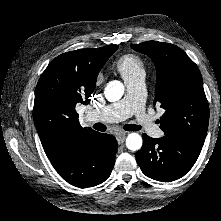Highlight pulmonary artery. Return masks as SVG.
I'll list each match as a JSON object with an SVG mask.
<instances>
[{"mask_svg":"<svg viewBox=\"0 0 221 221\" xmlns=\"http://www.w3.org/2000/svg\"><path fill=\"white\" fill-rule=\"evenodd\" d=\"M125 83L127 92L120 101L87 112L85 119L90 122L99 121L102 123H111L132 118V122L140 128L139 130L147 132L151 137H160L162 135L161 129L155 125L153 119L141 109L145 92L144 75Z\"/></svg>","mask_w":221,"mask_h":221,"instance_id":"obj_1","label":"pulmonary artery"}]
</instances>
